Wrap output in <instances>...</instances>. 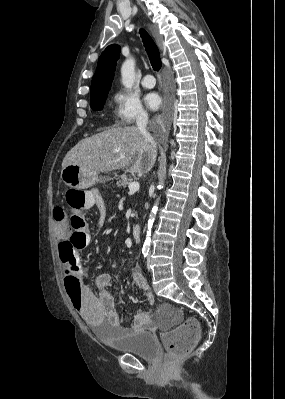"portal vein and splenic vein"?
Wrapping results in <instances>:
<instances>
[{
	"instance_id": "portal-vein-and-splenic-vein-1",
	"label": "portal vein and splenic vein",
	"mask_w": 285,
	"mask_h": 399,
	"mask_svg": "<svg viewBox=\"0 0 285 399\" xmlns=\"http://www.w3.org/2000/svg\"><path fill=\"white\" fill-rule=\"evenodd\" d=\"M121 157H124V156L122 155ZM128 188H129L130 193H135L139 190L140 184L137 181H133L129 184Z\"/></svg>"
}]
</instances>
